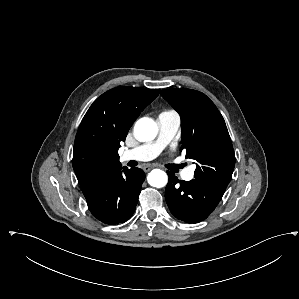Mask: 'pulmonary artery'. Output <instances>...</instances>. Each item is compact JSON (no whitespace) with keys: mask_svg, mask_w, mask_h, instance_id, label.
Wrapping results in <instances>:
<instances>
[{"mask_svg":"<svg viewBox=\"0 0 299 299\" xmlns=\"http://www.w3.org/2000/svg\"><path fill=\"white\" fill-rule=\"evenodd\" d=\"M159 135L155 141L140 145L123 153V161H149L154 159L175 137L180 127V117L175 111H163L158 116ZM194 167L183 170L181 175L184 180L194 178Z\"/></svg>","mask_w":299,"mask_h":299,"instance_id":"obj_1","label":"pulmonary artery"}]
</instances>
